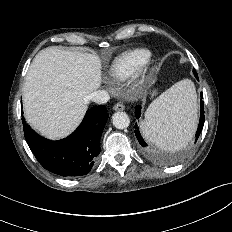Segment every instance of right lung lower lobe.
Returning <instances> with one entry per match:
<instances>
[{
	"label": "right lung lower lobe",
	"instance_id": "98d812e1",
	"mask_svg": "<svg viewBox=\"0 0 232 232\" xmlns=\"http://www.w3.org/2000/svg\"><path fill=\"white\" fill-rule=\"evenodd\" d=\"M108 117L105 106H95L86 112L70 136L51 141L32 130L22 116L24 136L45 169L60 176H83L89 173L100 153V138Z\"/></svg>",
	"mask_w": 232,
	"mask_h": 232
}]
</instances>
